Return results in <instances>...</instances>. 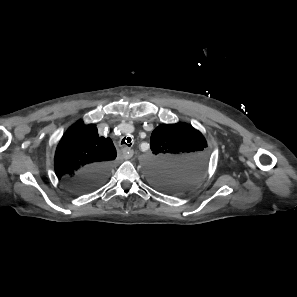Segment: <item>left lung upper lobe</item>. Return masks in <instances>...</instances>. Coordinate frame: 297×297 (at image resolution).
Returning <instances> with one entry per match:
<instances>
[{"instance_id": "5c2ea615", "label": "left lung upper lobe", "mask_w": 297, "mask_h": 297, "mask_svg": "<svg viewBox=\"0 0 297 297\" xmlns=\"http://www.w3.org/2000/svg\"><path fill=\"white\" fill-rule=\"evenodd\" d=\"M154 163L150 182L158 189L177 193L192 187L205 171L208 152L203 135L185 123L158 126L151 135Z\"/></svg>"}]
</instances>
